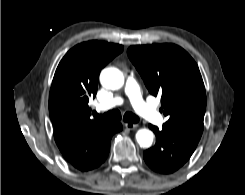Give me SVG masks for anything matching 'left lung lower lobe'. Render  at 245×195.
Returning <instances> with one entry per match:
<instances>
[{
  "label": "left lung lower lobe",
  "mask_w": 245,
  "mask_h": 195,
  "mask_svg": "<svg viewBox=\"0 0 245 195\" xmlns=\"http://www.w3.org/2000/svg\"><path fill=\"white\" fill-rule=\"evenodd\" d=\"M156 135V144L143 153L147 165L162 174L173 173L184 165L194 150L201 136L192 134L172 125H163L159 130L149 125Z\"/></svg>",
  "instance_id": "0a47b994"
}]
</instances>
